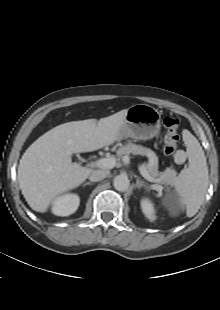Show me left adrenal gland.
<instances>
[{
  "label": "left adrenal gland",
  "instance_id": "obj_1",
  "mask_svg": "<svg viewBox=\"0 0 220 310\" xmlns=\"http://www.w3.org/2000/svg\"><path fill=\"white\" fill-rule=\"evenodd\" d=\"M136 187H137L138 189H140V188L143 187V188H145V189L148 190L147 185L144 183V181L140 180L139 178L136 180Z\"/></svg>",
  "mask_w": 220,
  "mask_h": 310
}]
</instances>
